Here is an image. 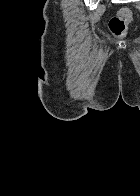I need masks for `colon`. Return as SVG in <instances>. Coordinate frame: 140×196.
I'll list each match as a JSON object with an SVG mask.
<instances>
[{
    "label": "colon",
    "mask_w": 140,
    "mask_h": 196,
    "mask_svg": "<svg viewBox=\"0 0 140 196\" xmlns=\"http://www.w3.org/2000/svg\"><path fill=\"white\" fill-rule=\"evenodd\" d=\"M133 20V13L128 8H122L113 15L108 23L109 30L117 38L126 36L128 27Z\"/></svg>",
    "instance_id": "1"
}]
</instances>
